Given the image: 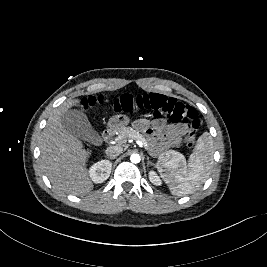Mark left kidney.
Masks as SVG:
<instances>
[{
    "mask_svg": "<svg viewBox=\"0 0 267 267\" xmlns=\"http://www.w3.org/2000/svg\"><path fill=\"white\" fill-rule=\"evenodd\" d=\"M149 179L151 183H153L156 186H159L162 184L161 179L159 178V176L154 170L149 171Z\"/></svg>",
    "mask_w": 267,
    "mask_h": 267,
    "instance_id": "left-kidney-1",
    "label": "left kidney"
}]
</instances>
